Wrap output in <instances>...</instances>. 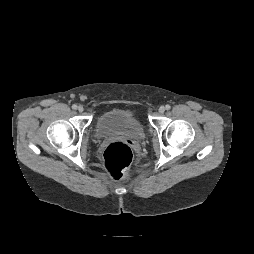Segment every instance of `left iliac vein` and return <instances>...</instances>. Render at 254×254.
I'll list each match as a JSON object with an SVG mask.
<instances>
[{
	"label": "left iliac vein",
	"mask_w": 254,
	"mask_h": 254,
	"mask_svg": "<svg viewBox=\"0 0 254 254\" xmlns=\"http://www.w3.org/2000/svg\"><path fill=\"white\" fill-rule=\"evenodd\" d=\"M158 112L160 114H163L165 112V107L161 106L159 109H158Z\"/></svg>",
	"instance_id": "obj_1"
}]
</instances>
